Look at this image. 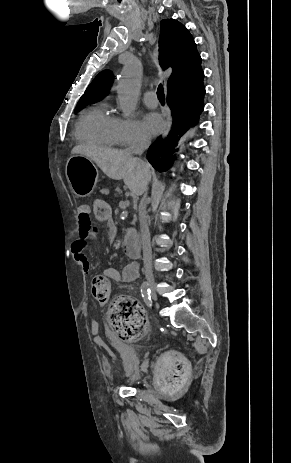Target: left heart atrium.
<instances>
[{
  "mask_svg": "<svg viewBox=\"0 0 291 463\" xmlns=\"http://www.w3.org/2000/svg\"><path fill=\"white\" fill-rule=\"evenodd\" d=\"M143 126L147 133L157 134L164 129V121L158 113L150 112L144 116Z\"/></svg>",
  "mask_w": 291,
  "mask_h": 463,
  "instance_id": "1",
  "label": "left heart atrium"
}]
</instances>
